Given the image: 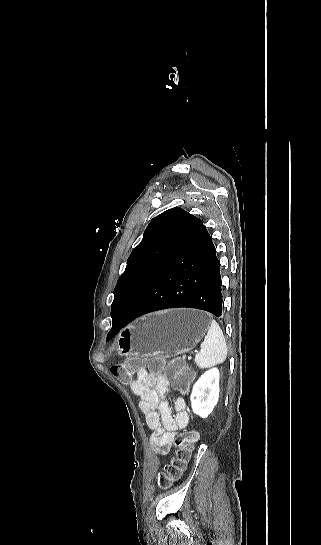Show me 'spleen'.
I'll list each match as a JSON object with an SVG mask.
<instances>
[{"label": "spleen", "instance_id": "spleen-1", "mask_svg": "<svg viewBox=\"0 0 321 545\" xmlns=\"http://www.w3.org/2000/svg\"><path fill=\"white\" fill-rule=\"evenodd\" d=\"M227 355L228 349L222 329L216 321H211L208 333L200 345V353L195 357V363L200 369H211L224 363Z\"/></svg>", "mask_w": 321, "mask_h": 545}]
</instances>
